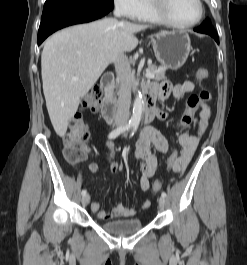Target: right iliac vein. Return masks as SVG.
I'll return each instance as SVG.
<instances>
[{"mask_svg":"<svg viewBox=\"0 0 247 265\" xmlns=\"http://www.w3.org/2000/svg\"><path fill=\"white\" fill-rule=\"evenodd\" d=\"M82 204L84 205V206H86L88 203H89V201H90V196L88 195V194H86V195H84L83 197H82Z\"/></svg>","mask_w":247,"mask_h":265,"instance_id":"right-iliac-vein-1","label":"right iliac vein"}]
</instances>
